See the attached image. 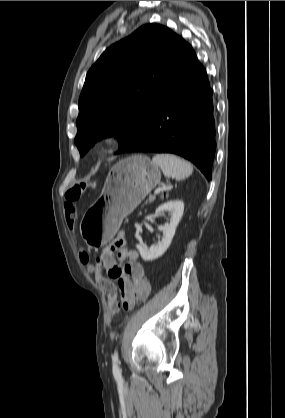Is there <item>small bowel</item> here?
Masks as SVG:
<instances>
[{
  "instance_id": "1",
  "label": "small bowel",
  "mask_w": 285,
  "mask_h": 418,
  "mask_svg": "<svg viewBox=\"0 0 285 418\" xmlns=\"http://www.w3.org/2000/svg\"><path fill=\"white\" fill-rule=\"evenodd\" d=\"M124 239V232H119L115 240L105 247L99 256L109 276L115 280V287L119 290L123 303L135 302L139 298L146 299L151 292V285L146 278L144 267L139 262L138 252L124 249ZM117 242L120 243V247H116ZM115 252L119 260L127 259L129 264L119 265L114 256Z\"/></svg>"
}]
</instances>
